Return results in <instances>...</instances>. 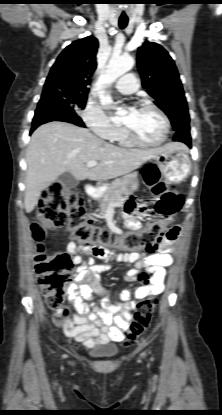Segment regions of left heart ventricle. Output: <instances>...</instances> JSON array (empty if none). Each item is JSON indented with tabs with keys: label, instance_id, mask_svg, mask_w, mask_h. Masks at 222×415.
Returning a JSON list of instances; mask_svg holds the SVG:
<instances>
[{
	"label": "left heart ventricle",
	"instance_id": "obj_1",
	"mask_svg": "<svg viewBox=\"0 0 222 415\" xmlns=\"http://www.w3.org/2000/svg\"><path fill=\"white\" fill-rule=\"evenodd\" d=\"M121 122L145 141H158L164 133L162 118L151 108H138L133 112L126 111Z\"/></svg>",
	"mask_w": 222,
	"mask_h": 415
}]
</instances>
